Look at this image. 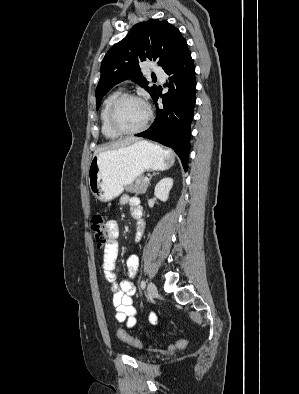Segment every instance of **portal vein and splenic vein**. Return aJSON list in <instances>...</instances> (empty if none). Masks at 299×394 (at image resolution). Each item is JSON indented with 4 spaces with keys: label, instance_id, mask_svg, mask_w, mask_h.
Wrapping results in <instances>:
<instances>
[{
    "label": "portal vein and splenic vein",
    "instance_id": "1",
    "mask_svg": "<svg viewBox=\"0 0 299 394\" xmlns=\"http://www.w3.org/2000/svg\"><path fill=\"white\" fill-rule=\"evenodd\" d=\"M144 181H145V182H148V181H149V178H148V177H145V178H144Z\"/></svg>",
    "mask_w": 299,
    "mask_h": 394
}]
</instances>
